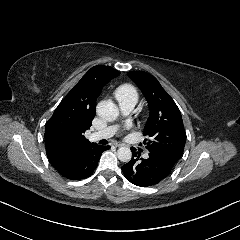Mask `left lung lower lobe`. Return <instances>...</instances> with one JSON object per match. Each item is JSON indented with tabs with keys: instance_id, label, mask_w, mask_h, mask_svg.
<instances>
[{
	"instance_id": "obj_1",
	"label": "left lung lower lobe",
	"mask_w": 240,
	"mask_h": 240,
	"mask_svg": "<svg viewBox=\"0 0 240 240\" xmlns=\"http://www.w3.org/2000/svg\"><path fill=\"white\" fill-rule=\"evenodd\" d=\"M131 151L133 157L122 166V171L128 181L140 187L158 184L170 174L175 165L158 152H150L149 158L139 159L140 154L134 148Z\"/></svg>"
}]
</instances>
